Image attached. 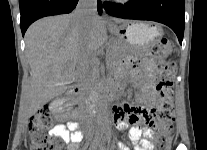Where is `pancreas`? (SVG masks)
Returning <instances> with one entry per match:
<instances>
[{
  "label": "pancreas",
  "mask_w": 207,
  "mask_h": 150,
  "mask_svg": "<svg viewBox=\"0 0 207 150\" xmlns=\"http://www.w3.org/2000/svg\"><path fill=\"white\" fill-rule=\"evenodd\" d=\"M120 55V50L118 48H112L110 52H108L107 54V62L110 65L115 64L116 60L119 58ZM93 64H97L96 60H93ZM98 76V71L96 69V67H94L90 73V75L87 77V81L91 84L94 83V81L96 80Z\"/></svg>",
  "instance_id": "pancreas-1"
}]
</instances>
